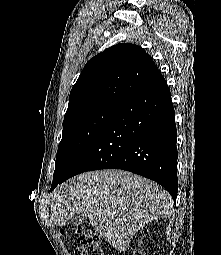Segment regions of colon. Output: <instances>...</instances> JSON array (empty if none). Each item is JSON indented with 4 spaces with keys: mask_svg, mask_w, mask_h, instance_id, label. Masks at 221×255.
<instances>
[{
    "mask_svg": "<svg viewBox=\"0 0 221 255\" xmlns=\"http://www.w3.org/2000/svg\"><path fill=\"white\" fill-rule=\"evenodd\" d=\"M75 255H108L102 249L98 235L89 229H78L75 238Z\"/></svg>",
    "mask_w": 221,
    "mask_h": 255,
    "instance_id": "obj_1",
    "label": "colon"
}]
</instances>
